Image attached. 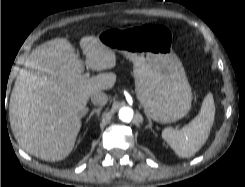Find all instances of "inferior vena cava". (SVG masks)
<instances>
[{
  "label": "inferior vena cava",
  "instance_id": "602c4592",
  "mask_svg": "<svg viewBox=\"0 0 245 187\" xmlns=\"http://www.w3.org/2000/svg\"><path fill=\"white\" fill-rule=\"evenodd\" d=\"M91 102L96 106H104L108 102V96L104 92H97L91 95Z\"/></svg>",
  "mask_w": 245,
  "mask_h": 187
}]
</instances>
